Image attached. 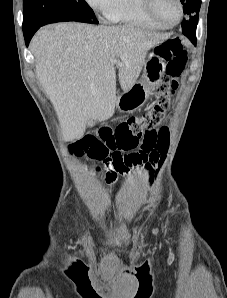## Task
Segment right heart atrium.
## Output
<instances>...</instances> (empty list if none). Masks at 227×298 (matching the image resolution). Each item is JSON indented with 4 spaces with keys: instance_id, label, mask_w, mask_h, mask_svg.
I'll list each match as a JSON object with an SVG mask.
<instances>
[{
    "instance_id": "right-heart-atrium-1",
    "label": "right heart atrium",
    "mask_w": 227,
    "mask_h": 298,
    "mask_svg": "<svg viewBox=\"0 0 227 298\" xmlns=\"http://www.w3.org/2000/svg\"><path fill=\"white\" fill-rule=\"evenodd\" d=\"M85 1L93 10L104 12L108 8L112 0H85Z\"/></svg>"
}]
</instances>
